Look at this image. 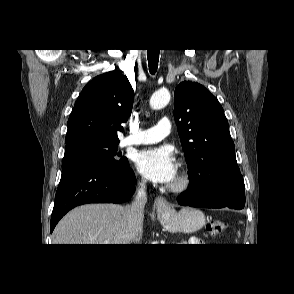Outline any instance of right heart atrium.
Listing matches in <instances>:
<instances>
[{
	"label": "right heart atrium",
	"mask_w": 294,
	"mask_h": 294,
	"mask_svg": "<svg viewBox=\"0 0 294 294\" xmlns=\"http://www.w3.org/2000/svg\"><path fill=\"white\" fill-rule=\"evenodd\" d=\"M139 186L144 187L145 186V180L141 179L139 181Z\"/></svg>",
	"instance_id": "1"
}]
</instances>
